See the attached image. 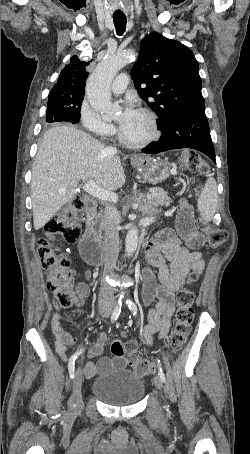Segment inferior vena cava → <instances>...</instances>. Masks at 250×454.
I'll use <instances>...</instances> for the list:
<instances>
[{"label": "inferior vena cava", "instance_id": "1", "mask_svg": "<svg viewBox=\"0 0 250 454\" xmlns=\"http://www.w3.org/2000/svg\"><path fill=\"white\" fill-rule=\"evenodd\" d=\"M108 151L112 154L117 152L115 147H108ZM104 229V271H112L116 267V262L119 254V232L115 218V210L113 207L107 206L103 215ZM114 291L105 283L102 282L99 292V305H113Z\"/></svg>", "mask_w": 250, "mask_h": 454}]
</instances>
